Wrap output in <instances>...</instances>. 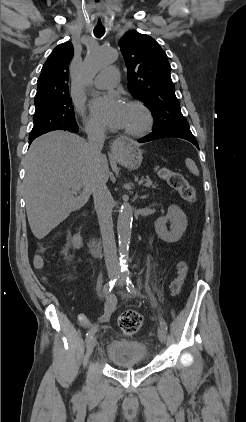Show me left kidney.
I'll return each instance as SVG.
<instances>
[{
	"label": "left kidney",
	"instance_id": "5707ae66",
	"mask_svg": "<svg viewBox=\"0 0 246 422\" xmlns=\"http://www.w3.org/2000/svg\"><path fill=\"white\" fill-rule=\"evenodd\" d=\"M171 223L170 231L167 230L166 223ZM188 224L185 213L176 205L168 208L167 215L160 217L155 222V231L159 238L168 243L177 242L186 231Z\"/></svg>",
	"mask_w": 246,
	"mask_h": 422
}]
</instances>
